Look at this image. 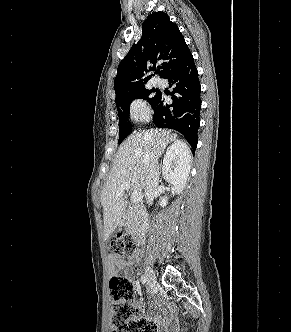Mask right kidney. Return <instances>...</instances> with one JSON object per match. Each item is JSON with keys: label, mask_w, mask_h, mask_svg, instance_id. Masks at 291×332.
Masks as SVG:
<instances>
[{"label": "right kidney", "mask_w": 291, "mask_h": 332, "mask_svg": "<svg viewBox=\"0 0 291 332\" xmlns=\"http://www.w3.org/2000/svg\"><path fill=\"white\" fill-rule=\"evenodd\" d=\"M191 156L188 154L184 143L174 142L167 150L163 160V176L166 181L174 186L176 194H180L187 182L190 172ZM168 203L166 197L160 199V206L165 207Z\"/></svg>", "instance_id": "right-kidney-1"}]
</instances>
